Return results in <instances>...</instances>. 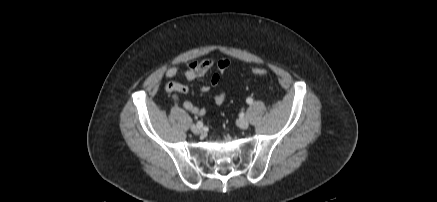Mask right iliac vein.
Instances as JSON below:
<instances>
[{
  "instance_id": "1",
  "label": "right iliac vein",
  "mask_w": 437,
  "mask_h": 202,
  "mask_svg": "<svg viewBox=\"0 0 437 202\" xmlns=\"http://www.w3.org/2000/svg\"><path fill=\"white\" fill-rule=\"evenodd\" d=\"M191 130L194 134H202L204 132L202 127H198L196 125H192Z\"/></svg>"
}]
</instances>
